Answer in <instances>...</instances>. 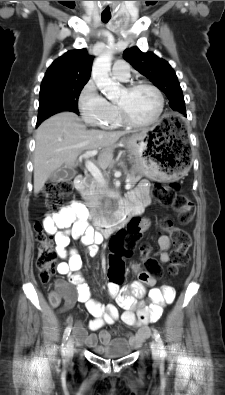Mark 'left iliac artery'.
<instances>
[{"instance_id":"left-iliac-artery-1","label":"left iliac artery","mask_w":225,"mask_h":395,"mask_svg":"<svg viewBox=\"0 0 225 395\" xmlns=\"http://www.w3.org/2000/svg\"><path fill=\"white\" fill-rule=\"evenodd\" d=\"M154 337H155V340L157 341L159 349H160V356L165 357L166 350L164 347V343H163L162 338L160 337L159 333L156 330H154Z\"/></svg>"}]
</instances>
